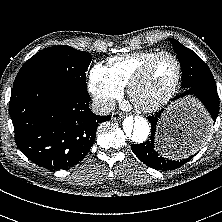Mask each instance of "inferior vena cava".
Segmentation results:
<instances>
[{
  "mask_svg": "<svg viewBox=\"0 0 222 222\" xmlns=\"http://www.w3.org/2000/svg\"><path fill=\"white\" fill-rule=\"evenodd\" d=\"M115 109V102L113 100L93 101L92 110L97 115H108Z\"/></svg>",
  "mask_w": 222,
  "mask_h": 222,
  "instance_id": "obj_1",
  "label": "inferior vena cava"
}]
</instances>
